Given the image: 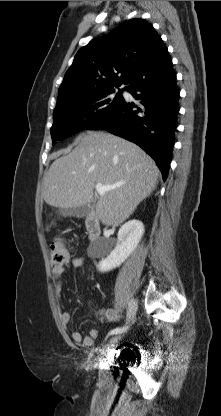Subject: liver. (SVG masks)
Wrapping results in <instances>:
<instances>
[{"label": "liver", "instance_id": "obj_1", "mask_svg": "<svg viewBox=\"0 0 221 416\" xmlns=\"http://www.w3.org/2000/svg\"><path fill=\"white\" fill-rule=\"evenodd\" d=\"M75 143L45 175L44 201L61 209L79 207L94 199L97 183L121 184L101 194L91 213L106 226L123 223L155 190L159 176L155 161L136 144L107 132L87 131Z\"/></svg>", "mask_w": 221, "mask_h": 416}]
</instances>
